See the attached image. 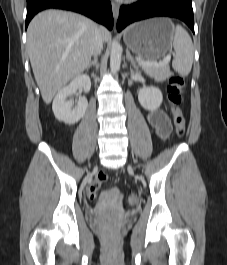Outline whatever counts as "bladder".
I'll return each mask as SVG.
<instances>
[{
    "mask_svg": "<svg viewBox=\"0 0 227 265\" xmlns=\"http://www.w3.org/2000/svg\"><path fill=\"white\" fill-rule=\"evenodd\" d=\"M108 195H109V197H111V198H113V197L115 196L114 192H112V191H110Z\"/></svg>",
    "mask_w": 227,
    "mask_h": 265,
    "instance_id": "obj_1",
    "label": "bladder"
}]
</instances>
